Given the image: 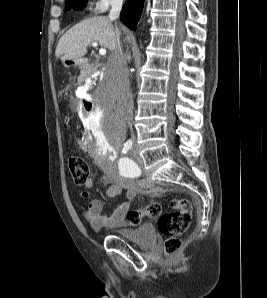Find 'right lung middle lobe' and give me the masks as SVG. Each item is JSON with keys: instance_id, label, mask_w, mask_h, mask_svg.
I'll return each instance as SVG.
<instances>
[{"instance_id": "obj_1", "label": "right lung middle lobe", "mask_w": 267, "mask_h": 298, "mask_svg": "<svg viewBox=\"0 0 267 298\" xmlns=\"http://www.w3.org/2000/svg\"><path fill=\"white\" fill-rule=\"evenodd\" d=\"M85 6H86V0H66V8L68 10L71 8L82 9Z\"/></svg>"}]
</instances>
